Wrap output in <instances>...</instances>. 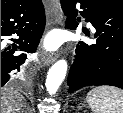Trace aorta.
I'll return each mask as SVG.
<instances>
[{"instance_id": "1", "label": "aorta", "mask_w": 123, "mask_h": 113, "mask_svg": "<svg viewBox=\"0 0 123 113\" xmlns=\"http://www.w3.org/2000/svg\"><path fill=\"white\" fill-rule=\"evenodd\" d=\"M67 73V62L64 59L55 62L49 69L45 86L50 95L57 92Z\"/></svg>"}]
</instances>
